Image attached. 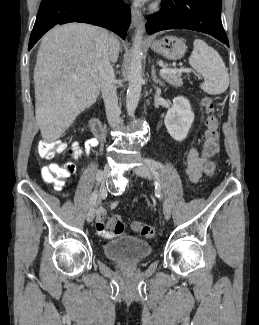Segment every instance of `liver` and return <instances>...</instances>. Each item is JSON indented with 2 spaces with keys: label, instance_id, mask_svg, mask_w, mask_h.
I'll return each instance as SVG.
<instances>
[{
  "label": "liver",
  "instance_id": "liver-1",
  "mask_svg": "<svg viewBox=\"0 0 259 325\" xmlns=\"http://www.w3.org/2000/svg\"><path fill=\"white\" fill-rule=\"evenodd\" d=\"M99 28L85 23L56 26L41 41L34 68L35 115L45 142H54L97 99L100 79L95 69ZM110 60L120 42L109 35Z\"/></svg>",
  "mask_w": 259,
  "mask_h": 325
}]
</instances>
